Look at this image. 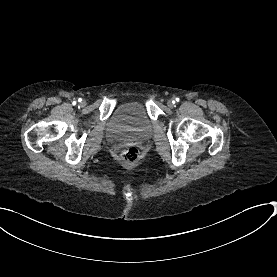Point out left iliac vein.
Returning a JSON list of instances; mask_svg holds the SVG:
<instances>
[{"label":"left iliac vein","mask_w":277,"mask_h":277,"mask_svg":"<svg viewBox=\"0 0 277 277\" xmlns=\"http://www.w3.org/2000/svg\"><path fill=\"white\" fill-rule=\"evenodd\" d=\"M167 105H168V107L172 108L174 106V101L168 100Z\"/></svg>","instance_id":"1"}]
</instances>
